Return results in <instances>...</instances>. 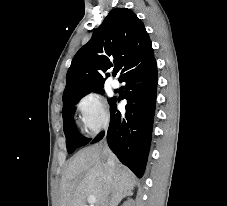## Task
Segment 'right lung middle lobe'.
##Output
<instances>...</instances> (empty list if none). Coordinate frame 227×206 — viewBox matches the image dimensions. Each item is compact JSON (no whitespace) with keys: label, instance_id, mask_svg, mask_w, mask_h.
<instances>
[{"label":"right lung middle lobe","instance_id":"1","mask_svg":"<svg viewBox=\"0 0 227 206\" xmlns=\"http://www.w3.org/2000/svg\"><path fill=\"white\" fill-rule=\"evenodd\" d=\"M91 91H96L97 93L103 94V87L95 88L81 94H77L71 96L69 98L63 99V127L64 133L66 135V146L68 153H73L77 148L84 146L89 143V139L83 137L77 130L74 120L73 114L75 112V104L87 93ZM113 100V98L108 99L109 103Z\"/></svg>","mask_w":227,"mask_h":206}]
</instances>
